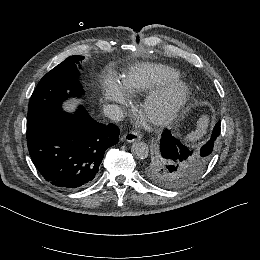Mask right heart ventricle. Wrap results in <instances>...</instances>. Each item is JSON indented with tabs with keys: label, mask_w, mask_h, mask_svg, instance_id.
<instances>
[{
	"label": "right heart ventricle",
	"mask_w": 260,
	"mask_h": 260,
	"mask_svg": "<svg viewBox=\"0 0 260 260\" xmlns=\"http://www.w3.org/2000/svg\"><path fill=\"white\" fill-rule=\"evenodd\" d=\"M134 73L135 80L130 85L133 93H153L181 78L178 71L163 64H142L134 69Z\"/></svg>",
	"instance_id": "1"
}]
</instances>
